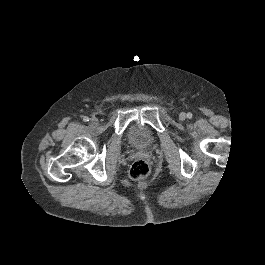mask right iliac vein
<instances>
[{
  "label": "right iliac vein",
  "instance_id": "right-iliac-vein-1",
  "mask_svg": "<svg viewBox=\"0 0 265 265\" xmlns=\"http://www.w3.org/2000/svg\"><path fill=\"white\" fill-rule=\"evenodd\" d=\"M90 123H91V125H96L98 123V119L96 117H92L90 119Z\"/></svg>",
  "mask_w": 265,
  "mask_h": 265
}]
</instances>
